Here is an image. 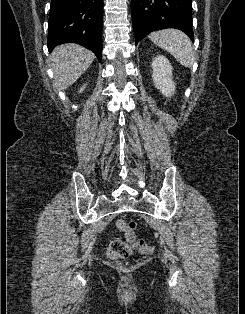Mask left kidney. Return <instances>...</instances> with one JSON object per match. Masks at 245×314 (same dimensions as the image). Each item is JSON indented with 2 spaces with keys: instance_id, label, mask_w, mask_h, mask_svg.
Returning a JSON list of instances; mask_svg holds the SVG:
<instances>
[{
  "instance_id": "obj_1",
  "label": "left kidney",
  "mask_w": 245,
  "mask_h": 314,
  "mask_svg": "<svg viewBox=\"0 0 245 314\" xmlns=\"http://www.w3.org/2000/svg\"><path fill=\"white\" fill-rule=\"evenodd\" d=\"M152 69H153V82L157 89L166 96H173L175 93V83L172 80V66L168 59L164 56L158 55L152 61Z\"/></svg>"
}]
</instances>
